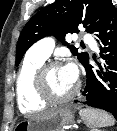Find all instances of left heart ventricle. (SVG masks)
Here are the masks:
<instances>
[{
  "label": "left heart ventricle",
  "mask_w": 117,
  "mask_h": 131,
  "mask_svg": "<svg viewBox=\"0 0 117 131\" xmlns=\"http://www.w3.org/2000/svg\"><path fill=\"white\" fill-rule=\"evenodd\" d=\"M46 80L51 93L58 97L69 94L76 85V82L68 78L61 66L49 70L46 74Z\"/></svg>",
  "instance_id": "left-heart-ventricle-1"
}]
</instances>
